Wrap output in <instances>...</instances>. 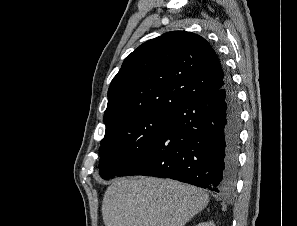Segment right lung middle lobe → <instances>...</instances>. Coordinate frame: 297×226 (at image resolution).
<instances>
[{
  "instance_id": "obj_1",
  "label": "right lung middle lobe",
  "mask_w": 297,
  "mask_h": 226,
  "mask_svg": "<svg viewBox=\"0 0 297 226\" xmlns=\"http://www.w3.org/2000/svg\"><path fill=\"white\" fill-rule=\"evenodd\" d=\"M173 113L174 111L146 112L107 126L99 148L101 177H114L132 163L169 125Z\"/></svg>"
}]
</instances>
